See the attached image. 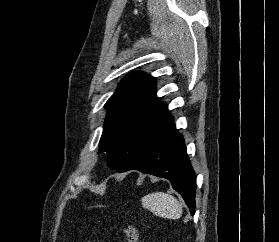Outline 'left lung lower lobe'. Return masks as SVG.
Instances as JSON below:
<instances>
[{
	"label": "left lung lower lobe",
	"mask_w": 279,
	"mask_h": 242,
	"mask_svg": "<svg viewBox=\"0 0 279 242\" xmlns=\"http://www.w3.org/2000/svg\"><path fill=\"white\" fill-rule=\"evenodd\" d=\"M139 170L157 177L168 179L173 189L183 197L195 214L196 177L186 153V146L181 134L173 129L143 155L133 160L124 172Z\"/></svg>",
	"instance_id": "1"
}]
</instances>
